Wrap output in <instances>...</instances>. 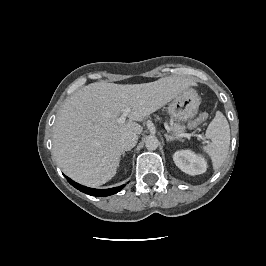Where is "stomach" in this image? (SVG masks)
<instances>
[{
  "label": "stomach",
  "mask_w": 266,
  "mask_h": 266,
  "mask_svg": "<svg viewBox=\"0 0 266 266\" xmlns=\"http://www.w3.org/2000/svg\"><path fill=\"white\" fill-rule=\"evenodd\" d=\"M200 103L197 92L192 88H187L172 100L168 112L173 119L186 121L197 114Z\"/></svg>",
  "instance_id": "1"
}]
</instances>
